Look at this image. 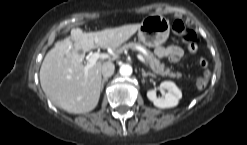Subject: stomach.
Listing matches in <instances>:
<instances>
[{
  "label": "stomach",
  "mask_w": 247,
  "mask_h": 145,
  "mask_svg": "<svg viewBox=\"0 0 247 145\" xmlns=\"http://www.w3.org/2000/svg\"><path fill=\"white\" fill-rule=\"evenodd\" d=\"M170 33L169 20L162 15L147 16L138 29V39L145 46L155 47L163 44Z\"/></svg>",
  "instance_id": "stomach-1"
}]
</instances>
